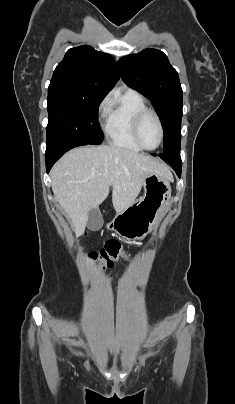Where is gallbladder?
<instances>
[{
    "instance_id": "gallbladder-1",
    "label": "gallbladder",
    "mask_w": 235,
    "mask_h": 404,
    "mask_svg": "<svg viewBox=\"0 0 235 404\" xmlns=\"http://www.w3.org/2000/svg\"><path fill=\"white\" fill-rule=\"evenodd\" d=\"M103 225V218L98 208L94 207L89 211L87 227L91 231L99 230Z\"/></svg>"
}]
</instances>
